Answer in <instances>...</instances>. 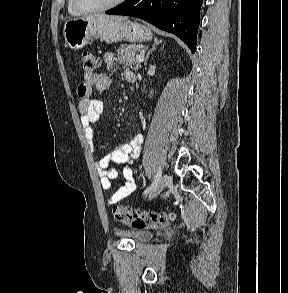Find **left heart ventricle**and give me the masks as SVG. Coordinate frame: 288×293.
Wrapping results in <instances>:
<instances>
[{
	"instance_id": "b2bd125f",
	"label": "left heart ventricle",
	"mask_w": 288,
	"mask_h": 293,
	"mask_svg": "<svg viewBox=\"0 0 288 293\" xmlns=\"http://www.w3.org/2000/svg\"><path fill=\"white\" fill-rule=\"evenodd\" d=\"M85 7H98L113 2L114 0H78Z\"/></svg>"
}]
</instances>
